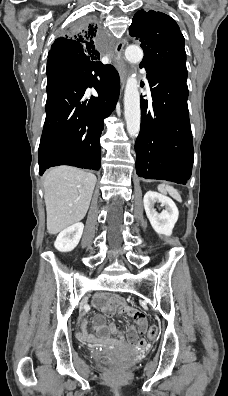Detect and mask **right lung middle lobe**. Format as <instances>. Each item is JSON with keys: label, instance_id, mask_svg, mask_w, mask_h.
Wrapping results in <instances>:
<instances>
[{"label": "right lung middle lobe", "instance_id": "obj_1", "mask_svg": "<svg viewBox=\"0 0 228 396\" xmlns=\"http://www.w3.org/2000/svg\"><path fill=\"white\" fill-rule=\"evenodd\" d=\"M88 20L82 19L75 23L74 29L77 31L82 30L83 28H87ZM90 26V24H89ZM68 73V70H54L47 71V90L51 89L54 85H56L62 78H64Z\"/></svg>", "mask_w": 228, "mask_h": 396}]
</instances>
